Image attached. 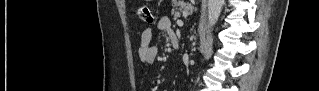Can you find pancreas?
<instances>
[{
  "mask_svg": "<svg viewBox=\"0 0 319 91\" xmlns=\"http://www.w3.org/2000/svg\"><path fill=\"white\" fill-rule=\"evenodd\" d=\"M175 4L176 6H179V10L184 13H189L193 9L188 4H181L180 1ZM172 15L174 16L173 19L176 20L180 16V13L178 11L173 10Z\"/></svg>",
  "mask_w": 319,
  "mask_h": 91,
  "instance_id": "1",
  "label": "pancreas"
}]
</instances>
